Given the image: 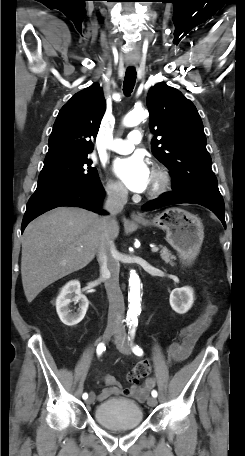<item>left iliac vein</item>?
<instances>
[{
  "mask_svg": "<svg viewBox=\"0 0 245 456\" xmlns=\"http://www.w3.org/2000/svg\"><path fill=\"white\" fill-rule=\"evenodd\" d=\"M116 343H117V348L121 353L126 354V355L131 354V352H132L131 345L126 342L125 332L122 328L117 331ZM147 403L149 406L154 407L157 405V400L155 397L152 396V397L148 398Z\"/></svg>",
  "mask_w": 245,
  "mask_h": 456,
  "instance_id": "1",
  "label": "left iliac vein"
}]
</instances>
